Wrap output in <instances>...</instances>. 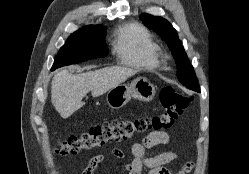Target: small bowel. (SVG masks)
<instances>
[{"mask_svg": "<svg viewBox=\"0 0 249 174\" xmlns=\"http://www.w3.org/2000/svg\"><path fill=\"white\" fill-rule=\"evenodd\" d=\"M169 142L170 136L167 133L154 132L148 134L141 142L134 143L130 149L133 160L123 167L126 174H145V169H148V174H172L165 168V165L177 159L176 152L165 151L154 156H149L146 153L147 148L167 145ZM112 154L119 159L125 157L124 152L119 149H113ZM104 159L105 156L101 153L93 156L83 169L82 174H94ZM192 167V163L188 162L178 174H187L191 171Z\"/></svg>", "mask_w": 249, "mask_h": 174, "instance_id": "1", "label": "small bowel"}]
</instances>
